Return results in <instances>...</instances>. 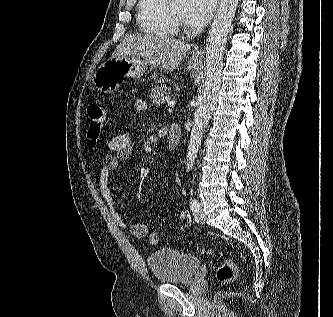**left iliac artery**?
<instances>
[{"label":"left iliac artery","mask_w":333,"mask_h":317,"mask_svg":"<svg viewBox=\"0 0 333 317\" xmlns=\"http://www.w3.org/2000/svg\"><path fill=\"white\" fill-rule=\"evenodd\" d=\"M189 204H190L191 210H195L198 207L199 202L195 198H190Z\"/></svg>","instance_id":"obj_1"}]
</instances>
